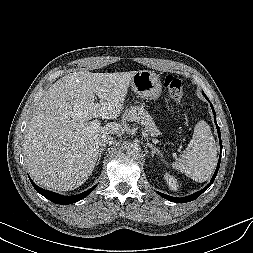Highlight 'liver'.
Masks as SVG:
<instances>
[{
    "label": "liver",
    "mask_w": 253,
    "mask_h": 253,
    "mask_svg": "<svg viewBox=\"0 0 253 253\" xmlns=\"http://www.w3.org/2000/svg\"><path fill=\"white\" fill-rule=\"evenodd\" d=\"M136 71L70 73L43 95L24 135V156L32 178L40 185L68 191L81 186L96 165L99 141L122 128L110 122L99 130L89 120L117 118L123 110ZM100 102H95L94 95Z\"/></svg>",
    "instance_id": "1"
}]
</instances>
